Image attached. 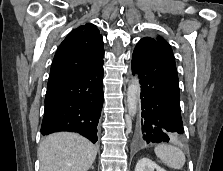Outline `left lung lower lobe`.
<instances>
[{"label": "left lung lower lobe", "instance_id": "obj_1", "mask_svg": "<svg viewBox=\"0 0 223 171\" xmlns=\"http://www.w3.org/2000/svg\"><path fill=\"white\" fill-rule=\"evenodd\" d=\"M132 72L141 84L138 145L169 142L184 134L178 75L173 58L159 45L139 41L132 56Z\"/></svg>", "mask_w": 223, "mask_h": 171}]
</instances>
